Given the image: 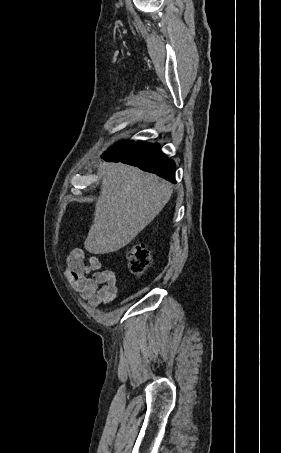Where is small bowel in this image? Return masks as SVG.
<instances>
[{"label":"small bowel","instance_id":"small-bowel-1","mask_svg":"<svg viewBox=\"0 0 281 453\" xmlns=\"http://www.w3.org/2000/svg\"><path fill=\"white\" fill-rule=\"evenodd\" d=\"M65 263L69 280L92 305L110 302L116 297L119 291L116 273L110 269L101 270L97 256L86 258L82 251L74 250Z\"/></svg>","mask_w":281,"mask_h":453}]
</instances>
